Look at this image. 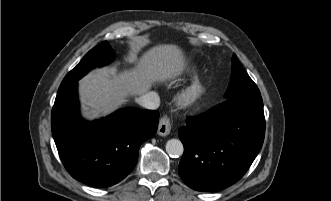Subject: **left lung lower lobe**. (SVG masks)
Here are the masks:
<instances>
[{"mask_svg": "<svg viewBox=\"0 0 331 201\" xmlns=\"http://www.w3.org/2000/svg\"><path fill=\"white\" fill-rule=\"evenodd\" d=\"M184 145L179 175L197 191H219L236 183L259 153L265 135L261 95L227 99L186 120L178 131Z\"/></svg>", "mask_w": 331, "mask_h": 201, "instance_id": "left-lung-lower-lobe-1", "label": "left lung lower lobe"}]
</instances>
